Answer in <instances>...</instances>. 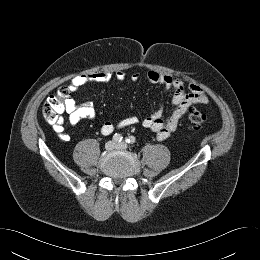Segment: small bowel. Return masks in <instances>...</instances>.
<instances>
[{"label": "small bowel", "mask_w": 260, "mask_h": 260, "mask_svg": "<svg viewBox=\"0 0 260 260\" xmlns=\"http://www.w3.org/2000/svg\"><path fill=\"white\" fill-rule=\"evenodd\" d=\"M112 78L122 81L126 78V74L119 70L114 73L99 71L85 75H77L71 79L69 88L70 90H75L85 84L105 83ZM130 79L136 82L140 79V74L134 72L130 75ZM146 79L172 92L171 104L173 110L167 118H163V111L160 106L141 121L142 126L152 131L159 140H165L170 137L176 130L181 118L192 105L208 104L210 102L208 94L200 86L187 84L182 79L175 78L169 74L149 71L146 74ZM66 112L68 113V122L70 125H76L84 119L91 120L96 117V109L91 103L78 104L71 97L67 99ZM138 122L139 120L136 117H126L117 123L105 122L101 126L100 132L102 135H109L116 128H123ZM56 129L63 141L70 140V135L64 131L62 122L57 124Z\"/></svg>", "instance_id": "obj_1"}]
</instances>
